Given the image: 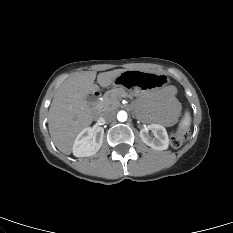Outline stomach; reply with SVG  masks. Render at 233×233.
Wrapping results in <instances>:
<instances>
[{"mask_svg": "<svg viewBox=\"0 0 233 233\" xmlns=\"http://www.w3.org/2000/svg\"><path fill=\"white\" fill-rule=\"evenodd\" d=\"M167 81L164 74L147 71H127L115 76L114 86L118 90L128 89L129 92L137 95L142 91L164 86Z\"/></svg>", "mask_w": 233, "mask_h": 233, "instance_id": "stomach-1", "label": "stomach"}]
</instances>
